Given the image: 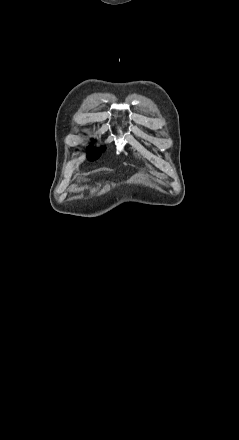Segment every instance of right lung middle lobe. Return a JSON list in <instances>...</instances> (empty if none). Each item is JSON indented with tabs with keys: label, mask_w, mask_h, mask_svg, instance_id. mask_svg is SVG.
Returning <instances> with one entry per match:
<instances>
[{
	"label": "right lung middle lobe",
	"mask_w": 239,
	"mask_h": 440,
	"mask_svg": "<svg viewBox=\"0 0 239 440\" xmlns=\"http://www.w3.org/2000/svg\"><path fill=\"white\" fill-rule=\"evenodd\" d=\"M103 149H104V148L100 149V151H103ZM92 151H95V152H98V153H100V151H99V150H97V149H94V150H92ZM90 152H91V151H90Z\"/></svg>",
	"instance_id": "dd1d6c3e"
}]
</instances>
